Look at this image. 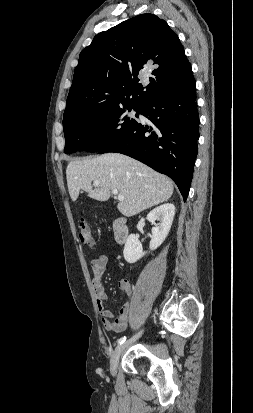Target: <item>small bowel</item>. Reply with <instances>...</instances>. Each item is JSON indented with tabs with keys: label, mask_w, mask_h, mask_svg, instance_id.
Segmentation results:
<instances>
[{
	"label": "small bowel",
	"mask_w": 253,
	"mask_h": 413,
	"mask_svg": "<svg viewBox=\"0 0 253 413\" xmlns=\"http://www.w3.org/2000/svg\"><path fill=\"white\" fill-rule=\"evenodd\" d=\"M107 264L108 257L104 254L95 257L91 261V269L94 274L92 288L96 296L97 307L104 328L108 331L118 333L124 331L128 325L131 304L130 300H128L122 306L118 315H114L109 309L106 308L105 301L108 299V295L102 282V277L106 271ZM118 286L125 292L129 299L132 297L133 287L130 282L127 280H120Z\"/></svg>",
	"instance_id": "1"
}]
</instances>
